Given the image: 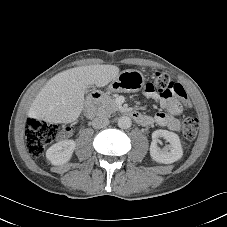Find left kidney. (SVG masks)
<instances>
[{
  "instance_id": "5707ae66",
  "label": "left kidney",
  "mask_w": 227,
  "mask_h": 227,
  "mask_svg": "<svg viewBox=\"0 0 227 227\" xmlns=\"http://www.w3.org/2000/svg\"><path fill=\"white\" fill-rule=\"evenodd\" d=\"M158 138H164L169 142L164 148L157 145ZM150 155L158 163L171 164L179 160L183 155V150L179 136L168 130H156L152 133V142L150 145Z\"/></svg>"
}]
</instances>
